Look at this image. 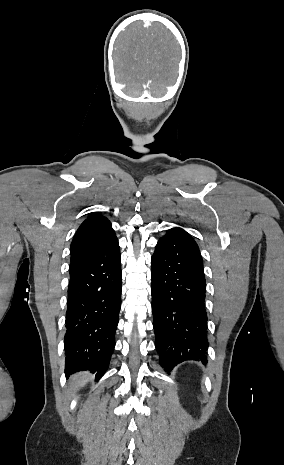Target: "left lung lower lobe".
Instances as JSON below:
<instances>
[{"instance_id": "obj_1", "label": "left lung lower lobe", "mask_w": 284, "mask_h": 465, "mask_svg": "<svg viewBox=\"0 0 284 465\" xmlns=\"http://www.w3.org/2000/svg\"><path fill=\"white\" fill-rule=\"evenodd\" d=\"M152 312L160 364L171 370L185 360L206 363V285L202 257L194 239L173 228L152 256Z\"/></svg>"}]
</instances>
